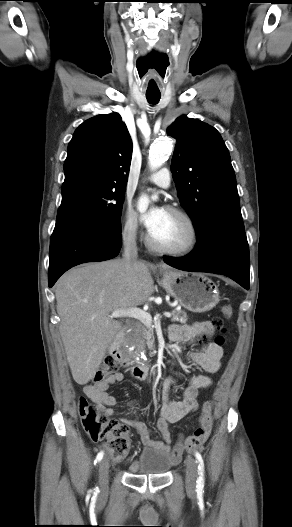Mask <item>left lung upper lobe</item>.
<instances>
[{"instance_id":"1","label":"left lung upper lobe","mask_w":292,"mask_h":527,"mask_svg":"<svg viewBox=\"0 0 292 527\" xmlns=\"http://www.w3.org/2000/svg\"><path fill=\"white\" fill-rule=\"evenodd\" d=\"M167 133L177 140L171 170L197 242L220 233L245 232L234 170L219 132L181 116Z\"/></svg>"}]
</instances>
